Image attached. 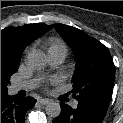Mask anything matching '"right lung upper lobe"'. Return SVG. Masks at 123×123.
Listing matches in <instances>:
<instances>
[{
	"mask_svg": "<svg viewBox=\"0 0 123 123\" xmlns=\"http://www.w3.org/2000/svg\"><path fill=\"white\" fill-rule=\"evenodd\" d=\"M51 28L50 25L37 23L1 30V73H15L24 49Z\"/></svg>",
	"mask_w": 123,
	"mask_h": 123,
	"instance_id": "cb5924a9",
	"label": "right lung upper lobe"
}]
</instances>
